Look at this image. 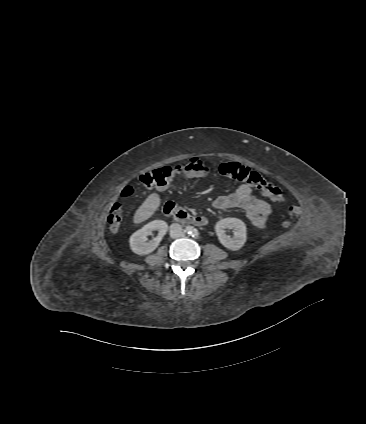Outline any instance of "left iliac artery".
I'll list each match as a JSON object with an SVG mask.
<instances>
[{
    "label": "left iliac artery",
    "instance_id": "44dca946",
    "mask_svg": "<svg viewBox=\"0 0 366 424\" xmlns=\"http://www.w3.org/2000/svg\"><path fill=\"white\" fill-rule=\"evenodd\" d=\"M192 236H193V237H198V236H199V232H198V230L194 229V230L192 231Z\"/></svg>",
    "mask_w": 366,
    "mask_h": 424
}]
</instances>
